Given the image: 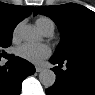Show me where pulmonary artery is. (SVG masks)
Here are the masks:
<instances>
[{
	"mask_svg": "<svg viewBox=\"0 0 95 95\" xmlns=\"http://www.w3.org/2000/svg\"><path fill=\"white\" fill-rule=\"evenodd\" d=\"M43 33H44V35H46V36H50V35L53 34V30H52V29H48V30H45Z\"/></svg>",
	"mask_w": 95,
	"mask_h": 95,
	"instance_id": "obj_1",
	"label": "pulmonary artery"
}]
</instances>
